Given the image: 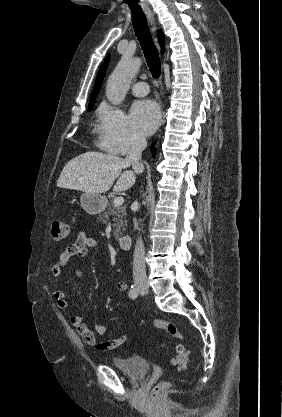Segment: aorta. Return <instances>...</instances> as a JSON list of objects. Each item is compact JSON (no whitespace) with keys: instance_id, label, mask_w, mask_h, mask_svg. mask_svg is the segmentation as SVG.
<instances>
[{"instance_id":"obj_1","label":"aorta","mask_w":282,"mask_h":417,"mask_svg":"<svg viewBox=\"0 0 282 417\" xmlns=\"http://www.w3.org/2000/svg\"><path fill=\"white\" fill-rule=\"evenodd\" d=\"M142 64L139 56H122L113 72H111L106 86V96L111 104H121L129 88V84Z\"/></svg>"}]
</instances>
